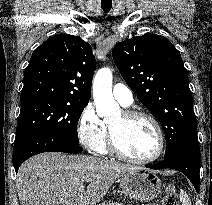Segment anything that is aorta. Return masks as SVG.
Wrapping results in <instances>:
<instances>
[{"instance_id": "obj_1", "label": "aorta", "mask_w": 212, "mask_h": 205, "mask_svg": "<svg viewBox=\"0 0 212 205\" xmlns=\"http://www.w3.org/2000/svg\"><path fill=\"white\" fill-rule=\"evenodd\" d=\"M93 98L99 116L107 117L119 109L112 94V71L107 67L98 70L94 77Z\"/></svg>"}]
</instances>
